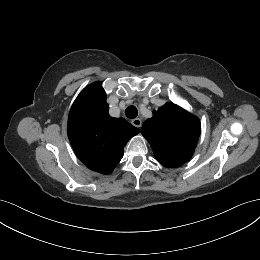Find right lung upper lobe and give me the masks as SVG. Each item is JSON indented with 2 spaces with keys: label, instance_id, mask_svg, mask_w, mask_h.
<instances>
[{
  "label": "right lung upper lobe",
  "instance_id": "right-lung-upper-lobe-1",
  "mask_svg": "<svg viewBox=\"0 0 260 260\" xmlns=\"http://www.w3.org/2000/svg\"><path fill=\"white\" fill-rule=\"evenodd\" d=\"M139 129L124 118L109 115L100 82L85 87L68 117V137L77 157L90 170L110 174L123 156L126 143Z\"/></svg>",
  "mask_w": 260,
  "mask_h": 260
}]
</instances>
